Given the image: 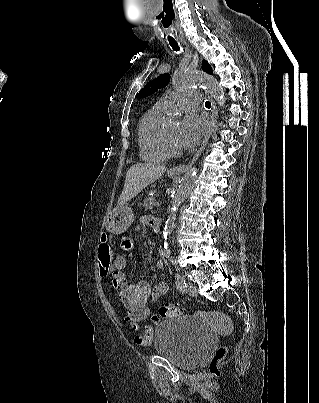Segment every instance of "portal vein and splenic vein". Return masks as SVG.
<instances>
[{
  "label": "portal vein and splenic vein",
  "mask_w": 319,
  "mask_h": 403,
  "mask_svg": "<svg viewBox=\"0 0 319 403\" xmlns=\"http://www.w3.org/2000/svg\"><path fill=\"white\" fill-rule=\"evenodd\" d=\"M154 206H155V207H159V206H160V203L157 201V202L154 203Z\"/></svg>",
  "instance_id": "obj_1"
}]
</instances>
